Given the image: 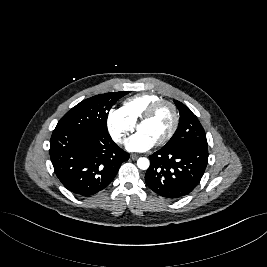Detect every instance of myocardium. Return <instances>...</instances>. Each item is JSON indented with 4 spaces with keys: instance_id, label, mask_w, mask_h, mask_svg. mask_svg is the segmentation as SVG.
I'll use <instances>...</instances> for the list:
<instances>
[{
    "instance_id": "f54148a6",
    "label": "myocardium",
    "mask_w": 267,
    "mask_h": 267,
    "mask_svg": "<svg viewBox=\"0 0 267 267\" xmlns=\"http://www.w3.org/2000/svg\"><path fill=\"white\" fill-rule=\"evenodd\" d=\"M163 106L170 107L172 114H173V123H172V126L169 132L162 139L156 142V145L158 146L164 145L167 142H169L172 139V137L175 135L179 127L180 116H179V112H178L176 105L169 100L161 99L155 102L154 104H152L137 122V129H139V127L143 123L149 121Z\"/></svg>"
}]
</instances>
